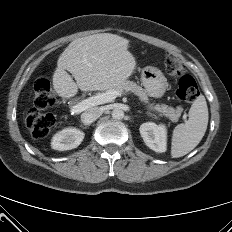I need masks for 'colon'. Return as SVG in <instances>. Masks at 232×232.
I'll list each match as a JSON object with an SVG mask.
<instances>
[{
	"instance_id": "colon-1",
	"label": "colon",
	"mask_w": 232,
	"mask_h": 232,
	"mask_svg": "<svg viewBox=\"0 0 232 232\" xmlns=\"http://www.w3.org/2000/svg\"><path fill=\"white\" fill-rule=\"evenodd\" d=\"M163 65L166 73L172 77L179 76L177 97L184 102H193L199 96V88L193 76L186 74L183 61L169 53L163 56ZM34 105L28 113L25 124L32 137L42 139L55 126V118L52 114L42 111L56 104V97L50 83L45 78H39L33 87Z\"/></svg>"
}]
</instances>
